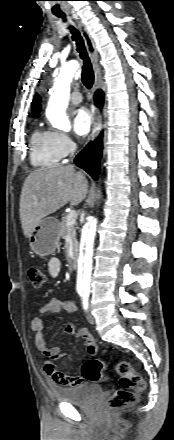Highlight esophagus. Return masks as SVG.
<instances>
[{
	"label": "esophagus",
	"instance_id": "1",
	"mask_svg": "<svg viewBox=\"0 0 174 440\" xmlns=\"http://www.w3.org/2000/svg\"><path fill=\"white\" fill-rule=\"evenodd\" d=\"M76 22H77L78 28L81 32V35L84 39V43H85L86 49L88 51L92 66H93L94 75H95V82H94L93 89L96 90L100 87V84H101V74H100V68L98 65V53L96 50V46H95V43H94L89 31L87 30L86 26L84 25V23L80 19H77ZM92 116H93V129H92V133H91V139L93 140L98 136V134L101 130V124H102L101 115L96 107H93Z\"/></svg>",
	"mask_w": 174,
	"mask_h": 440
}]
</instances>
